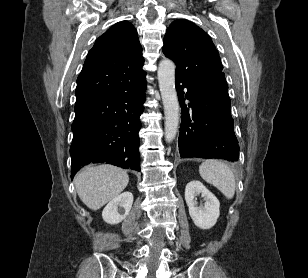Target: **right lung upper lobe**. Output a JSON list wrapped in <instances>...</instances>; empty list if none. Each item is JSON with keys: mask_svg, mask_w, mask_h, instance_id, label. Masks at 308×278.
<instances>
[{"mask_svg": "<svg viewBox=\"0 0 308 278\" xmlns=\"http://www.w3.org/2000/svg\"><path fill=\"white\" fill-rule=\"evenodd\" d=\"M143 64L136 29L128 21L116 23L89 51L77 79L75 105L130 90L145 77Z\"/></svg>", "mask_w": 308, "mask_h": 278, "instance_id": "1", "label": "right lung upper lobe"}]
</instances>
